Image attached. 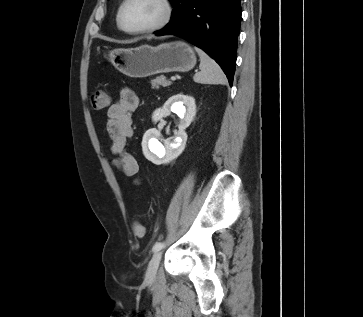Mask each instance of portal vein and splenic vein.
Wrapping results in <instances>:
<instances>
[{
    "instance_id": "1",
    "label": "portal vein and splenic vein",
    "mask_w": 363,
    "mask_h": 317,
    "mask_svg": "<svg viewBox=\"0 0 363 317\" xmlns=\"http://www.w3.org/2000/svg\"><path fill=\"white\" fill-rule=\"evenodd\" d=\"M176 80V77L175 76H172L171 77V81H175Z\"/></svg>"
}]
</instances>
